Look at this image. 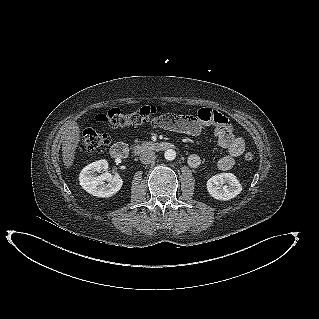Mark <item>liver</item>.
Returning <instances> with one entry per match:
<instances>
[{
  "label": "liver",
  "mask_w": 319,
  "mask_h": 319,
  "mask_svg": "<svg viewBox=\"0 0 319 319\" xmlns=\"http://www.w3.org/2000/svg\"><path fill=\"white\" fill-rule=\"evenodd\" d=\"M79 141V126L76 123H72L65 129L62 135V158L66 168H70L73 165Z\"/></svg>",
  "instance_id": "1"
}]
</instances>
